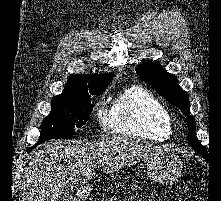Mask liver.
<instances>
[{
	"label": "liver",
	"instance_id": "liver-1",
	"mask_svg": "<svg viewBox=\"0 0 221 201\" xmlns=\"http://www.w3.org/2000/svg\"><path fill=\"white\" fill-rule=\"evenodd\" d=\"M173 151L129 136H112L91 142L45 143L30 156L21 188V201H58L66 185L83 186L95 176V168L111 173L159 152Z\"/></svg>",
	"mask_w": 221,
	"mask_h": 201
}]
</instances>
